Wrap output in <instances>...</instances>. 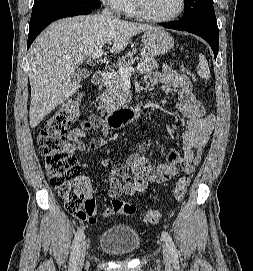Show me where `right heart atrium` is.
<instances>
[{"label": "right heart atrium", "mask_w": 253, "mask_h": 271, "mask_svg": "<svg viewBox=\"0 0 253 271\" xmlns=\"http://www.w3.org/2000/svg\"><path fill=\"white\" fill-rule=\"evenodd\" d=\"M102 1L115 11L124 10V7L127 2V0H102Z\"/></svg>", "instance_id": "1"}]
</instances>
